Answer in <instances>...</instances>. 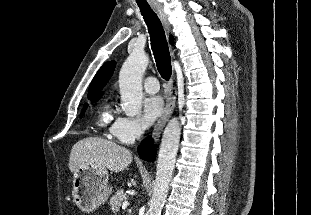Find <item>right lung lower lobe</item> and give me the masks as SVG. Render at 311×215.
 Masks as SVG:
<instances>
[{
	"mask_svg": "<svg viewBox=\"0 0 311 215\" xmlns=\"http://www.w3.org/2000/svg\"><path fill=\"white\" fill-rule=\"evenodd\" d=\"M139 156L146 161L155 160V150L153 148V140L150 136L141 142L137 148Z\"/></svg>",
	"mask_w": 311,
	"mask_h": 215,
	"instance_id": "obj_1",
	"label": "right lung lower lobe"
}]
</instances>
